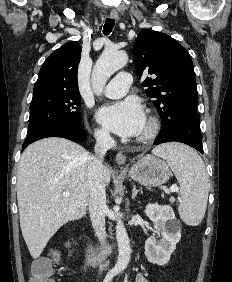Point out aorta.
Listing matches in <instances>:
<instances>
[{"mask_svg": "<svg viewBox=\"0 0 232 282\" xmlns=\"http://www.w3.org/2000/svg\"><path fill=\"white\" fill-rule=\"evenodd\" d=\"M128 62V55L124 51L105 50L97 60L92 71V87L96 94H101L108 79L117 70L124 67ZM116 239L118 243V259L114 266L117 273L123 272L131 256L130 241L121 219L116 222Z\"/></svg>", "mask_w": 232, "mask_h": 282, "instance_id": "1", "label": "aorta"}]
</instances>
